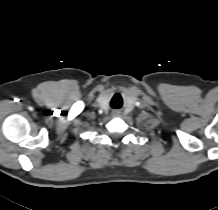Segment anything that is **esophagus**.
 I'll return each instance as SVG.
<instances>
[{
	"label": "esophagus",
	"mask_w": 218,
	"mask_h": 210,
	"mask_svg": "<svg viewBox=\"0 0 218 210\" xmlns=\"http://www.w3.org/2000/svg\"><path fill=\"white\" fill-rule=\"evenodd\" d=\"M113 115L118 116L119 115V111H114Z\"/></svg>",
	"instance_id": "34e87169"
}]
</instances>
